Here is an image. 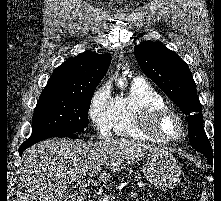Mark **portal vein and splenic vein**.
I'll return each mask as SVG.
<instances>
[{"mask_svg": "<svg viewBox=\"0 0 221 201\" xmlns=\"http://www.w3.org/2000/svg\"><path fill=\"white\" fill-rule=\"evenodd\" d=\"M78 184H79L80 188H82V189H84L86 187V185L83 184V180L78 181ZM129 195L131 197H136L137 193L130 192ZM114 200H115V197L109 196V195H104V196H101V198H100V201H114Z\"/></svg>", "mask_w": 221, "mask_h": 201, "instance_id": "1", "label": "portal vein and splenic vein"}]
</instances>
